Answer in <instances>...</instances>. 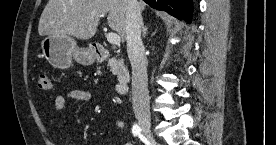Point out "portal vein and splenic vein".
Returning <instances> with one entry per match:
<instances>
[{
  "label": "portal vein and splenic vein",
  "instance_id": "18ae733b",
  "mask_svg": "<svg viewBox=\"0 0 276 145\" xmlns=\"http://www.w3.org/2000/svg\"><path fill=\"white\" fill-rule=\"evenodd\" d=\"M106 38H107V41L113 45H118L120 44V41H121L120 36L112 32L108 33Z\"/></svg>",
  "mask_w": 276,
  "mask_h": 145
}]
</instances>
